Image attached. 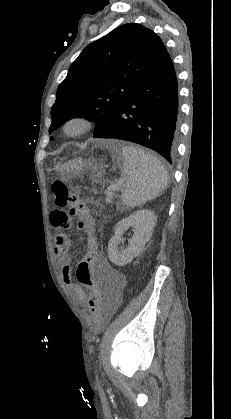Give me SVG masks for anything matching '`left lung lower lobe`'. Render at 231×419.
I'll return each mask as SVG.
<instances>
[{
    "label": "left lung lower lobe",
    "instance_id": "1",
    "mask_svg": "<svg viewBox=\"0 0 231 419\" xmlns=\"http://www.w3.org/2000/svg\"><path fill=\"white\" fill-rule=\"evenodd\" d=\"M178 136V85L167 53L130 90L110 124L94 138H117L151 148L170 164Z\"/></svg>",
    "mask_w": 231,
    "mask_h": 419
}]
</instances>
